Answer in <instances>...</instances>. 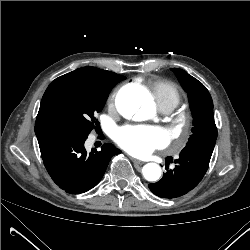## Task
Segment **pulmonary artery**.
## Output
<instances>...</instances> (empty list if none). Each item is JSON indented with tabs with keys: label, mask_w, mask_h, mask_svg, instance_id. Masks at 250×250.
I'll use <instances>...</instances> for the list:
<instances>
[{
	"label": "pulmonary artery",
	"mask_w": 250,
	"mask_h": 250,
	"mask_svg": "<svg viewBox=\"0 0 250 250\" xmlns=\"http://www.w3.org/2000/svg\"><path fill=\"white\" fill-rule=\"evenodd\" d=\"M163 113H169V112H171V110L170 109H163V110H161Z\"/></svg>",
	"instance_id": "pulmonary-artery-1"
}]
</instances>
